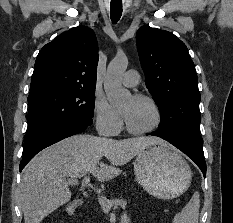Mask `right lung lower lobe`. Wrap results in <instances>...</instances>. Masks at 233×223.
I'll list each match as a JSON object with an SVG mask.
<instances>
[{"mask_svg": "<svg viewBox=\"0 0 233 223\" xmlns=\"http://www.w3.org/2000/svg\"><path fill=\"white\" fill-rule=\"evenodd\" d=\"M91 124L92 117L80 116L68 119L36 136L24 145L23 158L19 166L20 171H22L25 165L42 149L64 138L84 131Z\"/></svg>", "mask_w": 233, "mask_h": 223, "instance_id": "obj_1", "label": "right lung lower lobe"}]
</instances>
